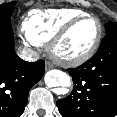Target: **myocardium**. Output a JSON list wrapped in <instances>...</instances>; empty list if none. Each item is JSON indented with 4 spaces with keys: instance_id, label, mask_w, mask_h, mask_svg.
Returning a JSON list of instances; mask_svg holds the SVG:
<instances>
[{
    "instance_id": "myocardium-1",
    "label": "myocardium",
    "mask_w": 117,
    "mask_h": 117,
    "mask_svg": "<svg viewBox=\"0 0 117 117\" xmlns=\"http://www.w3.org/2000/svg\"><path fill=\"white\" fill-rule=\"evenodd\" d=\"M92 19L96 21L98 30L96 38L91 47L83 54L78 56H67L60 52V45L71 31L81 22ZM103 36V25L99 18L93 15H81L70 20L48 43V52L51 57L59 64L77 66L90 60L97 52Z\"/></svg>"
}]
</instances>
